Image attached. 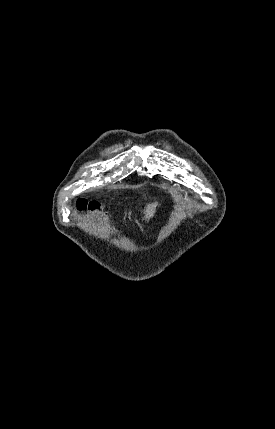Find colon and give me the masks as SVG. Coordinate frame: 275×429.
Returning <instances> with one entry per match:
<instances>
[{"label":"colon","instance_id":"obj_1","mask_svg":"<svg viewBox=\"0 0 275 429\" xmlns=\"http://www.w3.org/2000/svg\"><path fill=\"white\" fill-rule=\"evenodd\" d=\"M77 208L79 210H89L92 212H98V211H101L102 205L101 203L96 201H90V202L79 201L77 203Z\"/></svg>","mask_w":275,"mask_h":429}]
</instances>
